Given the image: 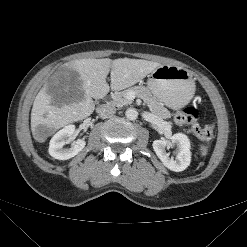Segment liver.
<instances>
[{
	"label": "liver",
	"mask_w": 247,
	"mask_h": 247,
	"mask_svg": "<svg viewBox=\"0 0 247 247\" xmlns=\"http://www.w3.org/2000/svg\"><path fill=\"white\" fill-rule=\"evenodd\" d=\"M157 62L142 59L119 58L79 59L64 65L79 74L81 81L77 98L72 102L56 105L42 87L35 97L31 111V129L38 140L45 139L51 132L70 123L83 120L90 116L95 104L92 98H103L110 90L126 89L145 78L159 67ZM110 72V86L106 78ZM45 127L49 133L39 136L37 130Z\"/></svg>",
	"instance_id": "obj_1"
}]
</instances>
